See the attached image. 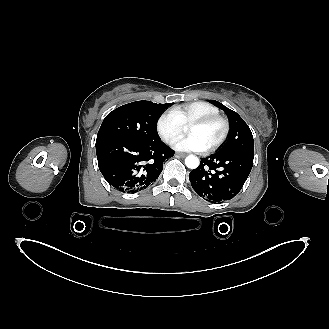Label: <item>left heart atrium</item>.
I'll use <instances>...</instances> for the list:
<instances>
[{"label": "left heart atrium", "mask_w": 329, "mask_h": 329, "mask_svg": "<svg viewBox=\"0 0 329 329\" xmlns=\"http://www.w3.org/2000/svg\"><path fill=\"white\" fill-rule=\"evenodd\" d=\"M174 148L179 151H193V152H201L206 148L201 140L192 134L179 139L175 144Z\"/></svg>", "instance_id": "1"}]
</instances>
